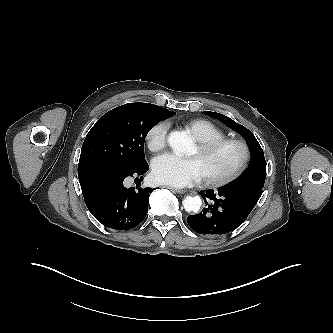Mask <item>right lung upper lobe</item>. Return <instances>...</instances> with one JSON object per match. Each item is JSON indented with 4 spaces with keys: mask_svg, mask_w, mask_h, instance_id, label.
Here are the masks:
<instances>
[{
    "mask_svg": "<svg viewBox=\"0 0 333 333\" xmlns=\"http://www.w3.org/2000/svg\"><path fill=\"white\" fill-rule=\"evenodd\" d=\"M128 104H138V105H146V106L156 107V108H159V109H161V110H163V111H165L166 113L171 114V115H173V113H175V112L169 111V110H167V109H164V108H162V107H159V106H157V105H153V104H149V103L136 102V103H128Z\"/></svg>",
    "mask_w": 333,
    "mask_h": 333,
    "instance_id": "1",
    "label": "right lung upper lobe"
}]
</instances>
